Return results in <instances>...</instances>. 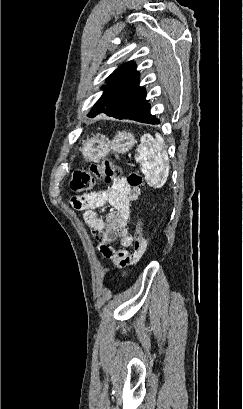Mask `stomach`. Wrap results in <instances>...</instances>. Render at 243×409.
I'll return each instance as SVG.
<instances>
[{"label":"stomach","instance_id":"0dacf381","mask_svg":"<svg viewBox=\"0 0 243 409\" xmlns=\"http://www.w3.org/2000/svg\"><path fill=\"white\" fill-rule=\"evenodd\" d=\"M136 143L132 133L118 132L112 140L104 137H92L83 143L81 152L86 161L99 162L109 155L110 152L124 154Z\"/></svg>","mask_w":243,"mask_h":409}]
</instances>
